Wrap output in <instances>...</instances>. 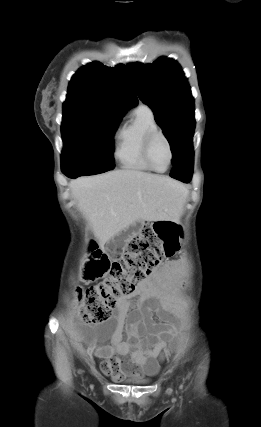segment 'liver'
Returning <instances> with one entry per match:
<instances>
[{
  "label": "liver",
  "instance_id": "liver-1",
  "mask_svg": "<svg viewBox=\"0 0 261 427\" xmlns=\"http://www.w3.org/2000/svg\"><path fill=\"white\" fill-rule=\"evenodd\" d=\"M69 187L101 246L137 221H178L188 195L169 177L136 170L80 177Z\"/></svg>",
  "mask_w": 261,
  "mask_h": 427
}]
</instances>
